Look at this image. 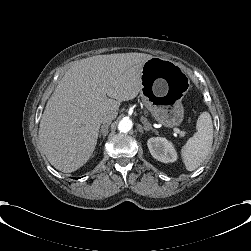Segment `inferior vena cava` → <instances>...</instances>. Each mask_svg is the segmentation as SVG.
<instances>
[{
    "mask_svg": "<svg viewBox=\"0 0 251 251\" xmlns=\"http://www.w3.org/2000/svg\"><path fill=\"white\" fill-rule=\"evenodd\" d=\"M112 120H113V118H103L102 120H101V123H106V124H110L111 122H112Z\"/></svg>",
    "mask_w": 251,
    "mask_h": 251,
    "instance_id": "obj_1",
    "label": "inferior vena cava"
}]
</instances>
